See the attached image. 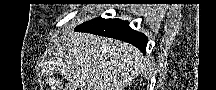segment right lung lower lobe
<instances>
[{"label":"right lung lower lobe","mask_w":216,"mask_h":90,"mask_svg":"<svg viewBox=\"0 0 216 90\" xmlns=\"http://www.w3.org/2000/svg\"><path fill=\"white\" fill-rule=\"evenodd\" d=\"M75 31L113 37L131 43L142 51L143 54L146 53L147 37L141 32L131 29L127 21L98 17L80 24L75 28Z\"/></svg>","instance_id":"1"}]
</instances>
